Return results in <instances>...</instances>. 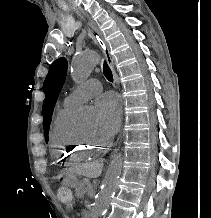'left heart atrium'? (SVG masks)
Here are the masks:
<instances>
[{"label":"left heart atrium","instance_id":"obj_1","mask_svg":"<svg viewBox=\"0 0 211 218\" xmlns=\"http://www.w3.org/2000/svg\"><path fill=\"white\" fill-rule=\"evenodd\" d=\"M95 106L98 112L99 133L105 138L113 137L120 126L121 108L119 101L111 92L100 95Z\"/></svg>","mask_w":211,"mask_h":218}]
</instances>
